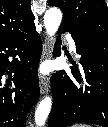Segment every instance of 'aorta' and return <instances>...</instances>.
<instances>
[{
    "label": "aorta",
    "mask_w": 108,
    "mask_h": 127,
    "mask_svg": "<svg viewBox=\"0 0 108 127\" xmlns=\"http://www.w3.org/2000/svg\"><path fill=\"white\" fill-rule=\"evenodd\" d=\"M62 21V12L59 8L51 7L44 14V26L47 34L52 37L57 32ZM52 99L45 97L39 103L35 112V122L38 127H42L50 113Z\"/></svg>",
    "instance_id": "762f6f07"
}]
</instances>
